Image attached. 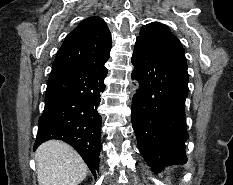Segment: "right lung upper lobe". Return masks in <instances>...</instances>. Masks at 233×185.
Returning <instances> with one entry per match:
<instances>
[{"label": "right lung upper lobe", "mask_w": 233, "mask_h": 185, "mask_svg": "<svg viewBox=\"0 0 233 185\" xmlns=\"http://www.w3.org/2000/svg\"><path fill=\"white\" fill-rule=\"evenodd\" d=\"M111 33L100 17L82 21L65 39L52 72L81 67H99L110 57Z\"/></svg>", "instance_id": "obj_1"}]
</instances>
